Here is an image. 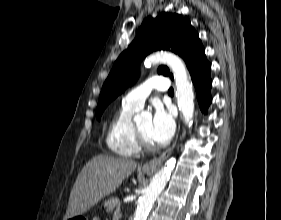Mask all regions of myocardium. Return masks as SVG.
I'll return each mask as SVG.
<instances>
[{"label": "myocardium", "mask_w": 281, "mask_h": 220, "mask_svg": "<svg viewBox=\"0 0 281 220\" xmlns=\"http://www.w3.org/2000/svg\"><path fill=\"white\" fill-rule=\"evenodd\" d=\"M134 135H135V140L141 149L146 151H151L156 148L153 143L148 142L144 138V136L141 134L137 126H134Z\"/></svg>", "instance_id": "f54148a6"}]
</instances>
